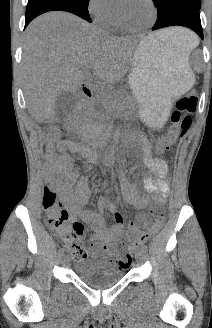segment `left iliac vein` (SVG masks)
Instances as JSON below:
<instances>
[{"label": "left iliac vein", "instance_id": "1", "mask_svg": "<svg viewBox=\"0 0 212 328\" xmlns=\"http://www.w3.org/2000/svg\"><path fill=\"white\" fill-rule=\"evenodd\" d=\"M144 251L142 249H138L136 252H135V259L137 261V263H142L143 262V259H144Z\"/></svg>", "mask_w": 212, "mask_h": 328}]
</instances>
